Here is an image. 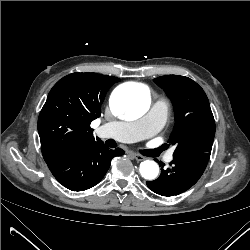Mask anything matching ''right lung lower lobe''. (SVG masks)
Returning a JSON list of instances; mask_svg holds the SVG:
<instances>
[{"label": "right lung lower lobe", "instance_id": "98d812e1", "mask_svg": "<svg viewBox=\"0 0 250 250\" xmlns=\"http://www.w3.org/2000/svg\"><path fill=\"white\" fill-rule=\"evenodd\" d=\"M120 148L109 150L102 141L80 146L68 153L45 159L54 177L72 191H83L98 184Z\"/></svg>", "mask_w": 250, "mask_h": 250}]
</instances>
